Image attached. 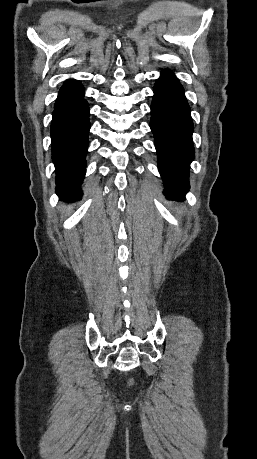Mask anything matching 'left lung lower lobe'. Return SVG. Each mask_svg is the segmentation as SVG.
<instances>
[{
    "mask_svg": "<svg viewBox=\"0 0 257 459\" xmlns=\"http://www.w3.org/2000/svg\"><path fill=\"white\" fill-rule=\"evenodd\" d=\"M150 127L167 198L183 200L189 188L188 168L194 157L193 122L182 85L166 70L154 86Z\"/></svg>",
    "mask_w": 257,
    "mask_h": 459,
    "instance_id": "obj_1",
    "label": "left lung lower lobe"
}]
</instances>
